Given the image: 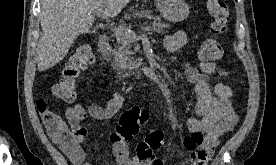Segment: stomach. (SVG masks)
<instances>
[{
    "label": "stomach",
    "instance_id": "0dacf381",
    "mask_svg": "<svg viewBox=\"0 0 276 165\" xmlns=\"http://www.w3.org/2000/svg\"><path fill=\"white\" fill-rule=\"evenodd\" d=\"M161 15L171 21L180 22L189 15V7L184 0H155Z\"/></svg>",
    "mask_w": 276,
    "mask_h": 165
}]
</instances>
